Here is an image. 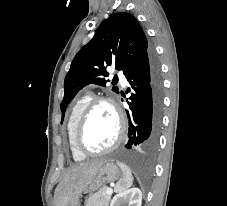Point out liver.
<instances>
[{
  "label": "liver",
  "mask_w": 227,
  "mask_h": 206,
  "mask_svg": "<svg viewBox=\"0 0 227 206\" xmlns=\"http://www.w3.org/2000/svg\"><path fill=\"white\" fill-rule=\"evenodd\" d=\"M105 161H89L68 168L55 190V206H77L81 193Z\"/></svg>",
  "instance_id": "liver-1"
}]
</instances>
